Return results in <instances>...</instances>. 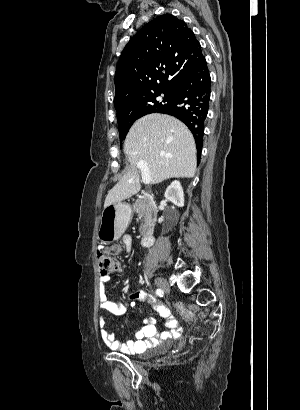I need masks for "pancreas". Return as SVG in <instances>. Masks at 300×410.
Instances as JSON below:
<instances>
[{
  "label": "pancreas",
  "instance_id": "cf45deb5",
  "mask_svg": "<svg viewBox=\"0 0 300 410\" xmlns=\"http://www.w3.org/2000/svg\"><path fill=\"white\" fill-rule=\"evenodd\" d=\"M133 210L141 220L140 233L147 235L153 232L155 219L152 204L148 199L146 197L138 198L133 204Z\"/></svg>",
  "mask_w": 300,
  "mask_h": 410
}]
</instances>
